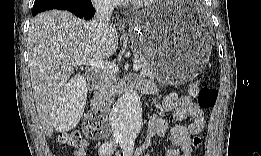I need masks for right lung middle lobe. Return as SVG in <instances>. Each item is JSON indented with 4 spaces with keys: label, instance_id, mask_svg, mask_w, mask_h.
<instances>
[{
    "label": "right lung middle lobe",
    "instance_id": "right-lung-middle-lobe-1",
    "mask_svg": "<svg viewBox=\"0 0 261 156\" xmlns=\"http://www.w3.org/2000/svg\"><path fill=\"white\" fill-rule=\"evenodd\" d=\"M71 0H35L33 10L70 3Z\"/></svg>",
    "mask_w": 261,
    "mask_h": 156
}]
</instances>
